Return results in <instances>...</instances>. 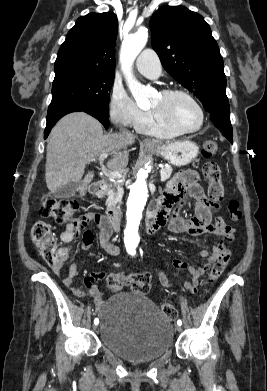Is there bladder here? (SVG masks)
Masks as SVG:
<instances>
[{"instance_id": "obj_1", "label": "bladder", "mask_w": 267, "mask_h": 391, "mask_svg": "<svg viewBox=\"0 0 267 391\" xmlns=\"http://www.w3.org/2000/svg\"><path fill=\"white\" fill-rule=\"evenodd\" d=\"M102 345L134 363L156 360L173 346V326L157 306L139 293L119 292L98 310Z\"/></svg>"}]
</instances>
